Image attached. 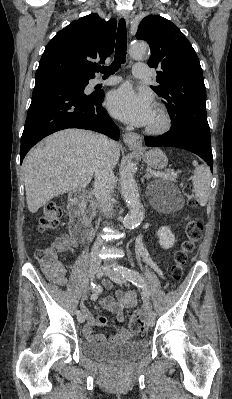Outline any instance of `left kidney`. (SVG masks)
Returning a JSON list of instances; mask_svg holds the SVG:
<instances>
[{
  "instance_id": "left-kidney-1",
  "label": "left kidney",
  "mask_w": 232,
  "mask_h": 399,
  "mask_svg": "<svg viewBox=\"0 0 232 399\" xmlns=\"http://www.w3.org/2000/svg\"><path fill=\"white\" fill-rule=\"evenodd\" d=\"M157 235L159 237V243L164 247V249H168V247H172L174 241H175V235L172 233L170 227H167V225H163V227H160L157 231Z\"/></svg>"
}]
</instances>
